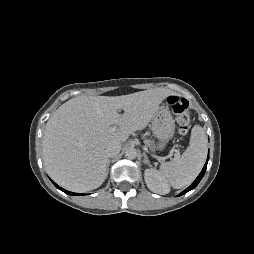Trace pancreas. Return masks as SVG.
I'll list each match as a JSON object with an SVG mask.
<instances>
[{
    "instance_id": "cf45deb5",
    "label": "pancreas",
    "mask_w": 254,
    "mask_h": 254,
    "mask_svg": "<svg viewBox=\"0 0 254 254\" xmlns=\"http://www.w3.org/2000/svg\"><path fill=\"white\" fill-rule=\"evenodd\" d=\"M145 144L149 147H152V144H153V141L149 140V139H146L145 140Z\"/></svg>"
}]
</instances>
